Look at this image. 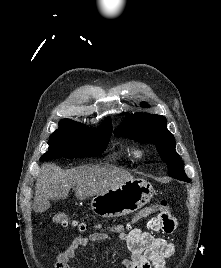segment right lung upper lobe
<instances>
[{
	"label": "right lung upper lobe",
	"instance_id": "obj_1",
	"mask_svg": "<svg viewBox=\"0 0 221 268\" xmlns=\"http://www.w3.org/2000/svg\"><path fill=\"white\" fill-rule=\"evenodd\" d=\"M102 127H111L112 128V124H111V120L109 118H107L104 122Z\"/></svg>",
	"mask_w": 221,
	"mask_h": 268
}]
</instances>
